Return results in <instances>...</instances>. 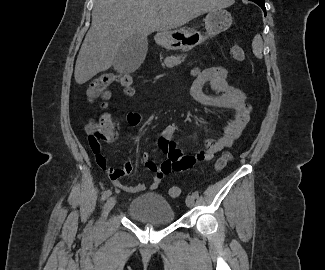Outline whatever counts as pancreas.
Returning a JSON list of instances; mask_svg holds the SVG:
<instances>
[{
    "mask_svg": "<svg viewBox=\"0 0 325 270\" xmlns=\"http://www.w3.org/2000/svg\"><path fill=\"white\" fill-rule=\"evenodd\" d=\"M184 58L185 57H181V56H177V57L171 56L165 59V63L169 66H175L180 64L184 60Z\"/></svg>",
    "mask_w": 325,
    "mask_h": 270,
    "instance_id": "obj_1",
    "label": "pancreas"
}]
</instances>
